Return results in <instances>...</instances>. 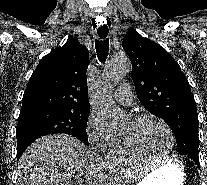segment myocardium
<instances>
[{"instance_id": "myocardium-1", "label": "myocardium", "mask_w": 207, "mask_h": 185, "mask_svg": "<svg viewBox=\"0 0 207 185\" xmlns=\"http://www.w3.org/2000/svg\"><path fill=\"white\" fill-rule=\"evenodd\" d=\"M146 120H155L157 122H159L166 130L168 137H169V141H170V145L168 150L163 154V155H152L147 153L145 150H143L142 148H140L135 141L133 140V138L131 136H129L128 134L123 133V139L124 142L127 146V148L133 152L134 154H137L139 156H142L146 159H151V160H164V159H168L175 148V135L174 132L172 130V128L170 127V125L161 117L157 116V115H153V114H146V115H141V116H137L133 119V121L135 123H141L143 121Z\"/></svg>"}]
</instances>
